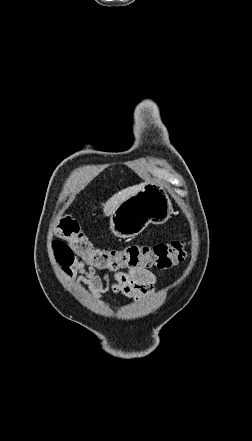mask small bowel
Segmentation results:
<instances>
[{"label":"small bowel","instance_id":"small-bowel-1","mask_svg":"<svg viewBox=\"0 0 252 441\" xmlns=\"http://www.w3.org/2000/svg\"><path fill=\"white\" fill-rule=\"evenodd\" d=\"M68 271L74 275L78 287L85 285L96 298L112 291L140 301L154 292V284L157 281L156 275L143 267L117 272L112 277L105 275V283L94 267L85 268L84 261L73 260Z\"/></svg>","mask_w":252,"mask_h":441}]
</instances>
